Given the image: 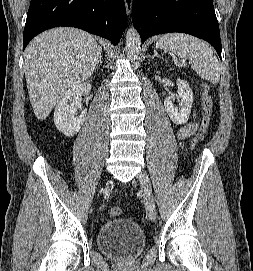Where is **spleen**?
Listing matches in <instances>:
<instances>
[{"label": "spleen", "instance_id": "1", "mask_svg": "<svg viewBox=\"0 0 253 271\" xmlns=\"http://www.w3.org/2000/svg\"><path fill=\"white\" fill-rule=\"evenodd\" d=\"M156 47L170 50L183 60H188L191 68L204 80L219 83L220 65L211 47L188 34L167 33L156 43Z\"/></svg>", "mask_w": 253, "mask_h": 271}]
</instances>
